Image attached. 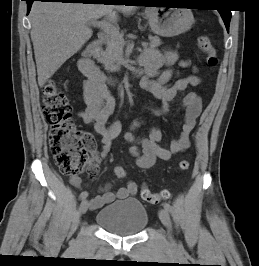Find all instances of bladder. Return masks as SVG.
Here are the masks:
<instances>
[{
    "mask_svg": "<svg viewBox=\"0 0 259 266\" xmlns=\"http://www.w3.org/2000/svg\"><path fill=\"white\" fill-rule=\"evenodd\" d=\"M95 220L100 227L112 234L133 236L145 229L148 213L140 201L126 199L101 208Z\"/></svg>",
    "mask_w": 259,
    "mask_h": 266,
    "instance_id": "1",
    "label": "bladder"
}]
</instances>
